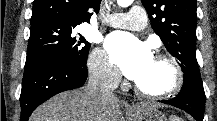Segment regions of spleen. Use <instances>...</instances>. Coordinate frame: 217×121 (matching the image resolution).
Here are the masks:
<instances>
[{
	"mask_svg": "<svg viewBox=\"0 0 217 121\" xmlns=\"http://www.w3.org/2000/svg\"><path fill=\"white\" fill-rule=\"evenodd\" d=\"M170 121H181L178 117H170Z\"/></svg>",
	"mask_w": 217,
	"mask_h": 121,
	"instance_id": "3e777b00",
	"label": "spleen"
}]
</instances>
